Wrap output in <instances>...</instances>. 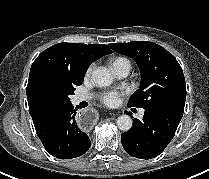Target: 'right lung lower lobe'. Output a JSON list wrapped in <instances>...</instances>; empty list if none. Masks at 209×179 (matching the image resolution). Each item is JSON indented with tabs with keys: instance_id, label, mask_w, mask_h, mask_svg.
Listing matches in <instances>:
<instances>
[{
	"instance_id": "obj_1",
	"label": "right lung lower lobe",
	"mask_w": 209,
	"mask_h": 179,
	"mask_svg": "<svg viewBox=\"0 0 209 179\" xmlns=\"http://www.w3.org/2000/svg\"><path fill=\"white\" fill-rule=\"evenodd\" d=\"M75 114L76 110L69 103L34 124L39 139L52 156L60 159L76 158L90 148L91 141L77 125Z\"/></svg>"
}]
</instances>
